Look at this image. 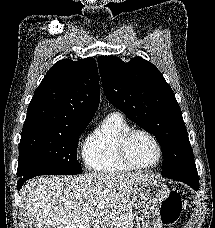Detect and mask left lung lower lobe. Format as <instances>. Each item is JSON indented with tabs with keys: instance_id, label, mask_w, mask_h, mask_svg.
I'll return each mask as SVG.
<instances>
[{
	"instance_id": "left-lung-lower-lobe-1",
	"label": "left lung lower lobe",
	"mask_w": 215,
	"mask_h": 228,
	"mask_svg": "<svg viewBox=\"0 0 215 228\" xmlns=\"http://www.w3.org/2000/svg\"><path fill=\"white\" fill-rule=\"evenodd\" d=\"M162 176L169 179L184 182L188 184L190 187H192L195 191H198L199 189V178H198L196 166L185 168L173 174L162 175Z\"/></svg>"
}]
</instances>
